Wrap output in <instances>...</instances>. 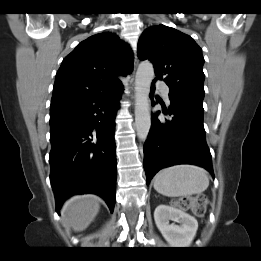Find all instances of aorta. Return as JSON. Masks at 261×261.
<instances>
[{"mask_svg": "<svg viewBox=\"0 0 261 261\" xmlns=\"http://www.w3.org/2000/svg\"><path fill=\"white\" fill-rule=\"evenodd\" d=\"M153 77V65L149 61L141 62L135 77V126L142 141L147 139L151 127L149 92Z\"/></svg>", "mask_w": 261, "mask_h": 261, "instance_id": "aorta-1", "label": "aorta"}]
</instances>
